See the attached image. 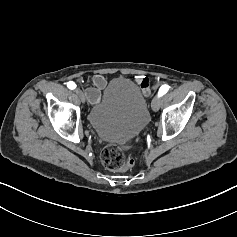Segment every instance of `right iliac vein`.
I'll return each instance as SVG.
<instances>
[{
	"mask_svg": "<svg viewBox=\"0 0 237 237\" xmlns=\"http://www.w3.org/2000/svg\"><path fill=\"white\" fill-rule=\"evenodd\" d=\"M75 92L78 95V97L81 99V101L83 103H85V96H84L83 92L78 88L75 90Z\"/></svg>",
	"mask_w": 237,
	"mask_h": 237,
	"instance_id": "63e3f726",
	"label": "right iliac vein"
}]
</instances>
